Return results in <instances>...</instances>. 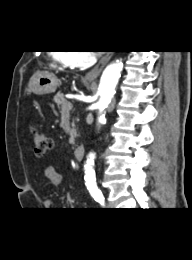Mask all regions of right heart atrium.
I'll return each instance as SVG.
<instances>
[{"instance_id":"d8ad5b80","label":"right heart atrium","mask_w":192,"mask_h":260,"mask_svg":"<svg viewBox=\"0 0 192 260\" xmlns=\"http://www.w3.org/2000/svg\"><path fill=\"white\" fill-rule=\"evenodd\" d=\"M68 54V61L73 67H83L91 61V54L87 51H73Z\"/></svg>"}]
</instances>
